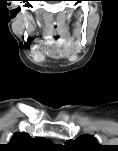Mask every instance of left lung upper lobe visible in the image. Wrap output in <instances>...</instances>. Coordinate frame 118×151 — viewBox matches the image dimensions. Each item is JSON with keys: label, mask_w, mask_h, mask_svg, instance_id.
I'll list each match as a JSON object with an SVG mask.
<instances>
[{"label": "left lung upper lobe", "mask_w": 118, "mask_h": 151, "mask_svg": "<svg viewBox=\"0 0 118 151\" xmlns=\"http://www.w3.org/2000/svg\"><path fill=\"white\" fill-rule=\"evenodd\" d=\"M66 145L74 150H94L99 147L98 141L90 135H83L76 140H68Z\"/></svg>", "instance_id": "1"}]
</instances>
